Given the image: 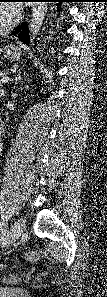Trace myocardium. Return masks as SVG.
<instances>
[{"label": "myocardium", "mask_w": 107, "mask_h": 297, "mask_svg": "<svg viewBox=\"0 0 107 297\" xmlns=\"http://www.w3.org/2000/svg\"><path fill=\"white\" fill-rule=\"evenodd\" d=\"M17 18H14L10 23H8L7 25L4 26H0V34H4L9 32L14 25L16 24Z\"/></svg>", "instance_id": "obj_1"}]
</instances>
